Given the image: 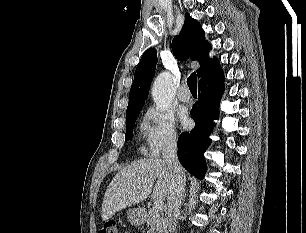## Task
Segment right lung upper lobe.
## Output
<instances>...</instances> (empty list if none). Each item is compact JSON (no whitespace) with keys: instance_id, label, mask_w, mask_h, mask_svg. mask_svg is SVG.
Returning a JSON list of instances; mask_svg holds the SVG:
<instances>
[{"instance_id":"right-lung-upper-lobe-1","label":"right lung upper lobe","mask_w":306,"mask_h":233,"mask_svg":"<svg viewBox=\"0 0 306 233\" xmlns=\"http://www.w3.org/2000/svg\"><path fill=\"white\" fill-rule=\"evenodd\" d=\"M211 46L205 41V33L201 24L193 19L189 13L185 15V22L179 35L172 41V50L179 60L190 58L200 63L197 70L202 79L210 72L219 68L216 58L210 60L208 50ZM157 63V52L154 48L146 50L136 68L134 81L131 86L126 116L142 109L148 96L151 80L154 76Z\"/></svg>"}]
</instances>
